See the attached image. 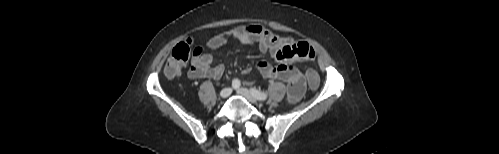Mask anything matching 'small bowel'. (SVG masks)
<instances>
[{"label":"small bowel","instance_id":"small-bowel-1","mask_svg":"<svg viewBox=\"0 0 499 154\" xmlns=\"http://www.w3.org/2000/svg\"><path fill=\"white\" fill-rule=\"evenodd\" d=\"M230 40H237L244 44L255 45L262 53L269 52L276 64L264 61L257 63V69L267 80H280L287 84V98L289 102H298L306 88L304 75L292 64L299 61L314 59V48L303 41H295L289 36L274 34L260 25H245L236 27L228 32L211 38L205 46V51L197 47L194 50L188 77L191 79L210 78L219 80L225 71L222 64L213 66V51ZM250 68L243 70L249 74Z\"/></svg>","mask_w":499,"mask_h":154}]
</instances>
